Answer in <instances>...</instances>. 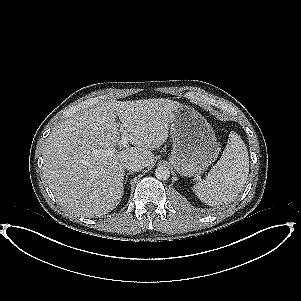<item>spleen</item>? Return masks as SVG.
Masks as SVG:
<instances>
[{
    "label": "spleen",
    "mask_w": 301,
    "mask_h": 301,
    "mask_svg": "<svg viewBox=\"0 0 301 301\" xmlns=\"http://www.w3.org/2000/svg\"><path fill=\"white\" fill-rule=\"evenodd\" d=\"M249 173L248 152L239 137L232 136L206 178L192 187L196 196L208 205L220 204L244 185Z\"/></svg>",
    "instance_id": "spleen-1"
}]
</instances>
